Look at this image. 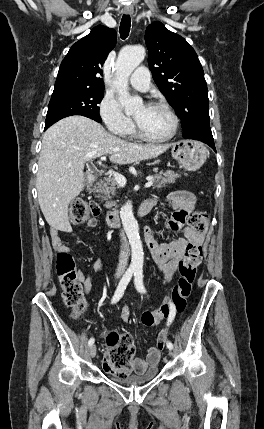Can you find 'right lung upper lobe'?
I'll list each match as a JSON object with an SVG mask.
<instances>
[{
  "mask_svg": "<svg viewBox=\"0 0 264 429\" xmlns=\"http://www.w3.org/2000/svg\"><path fill=\"white\" fill-rule=\"evenodd\" d=\"M116 44V31L101 25L76 42L63 59L54 90L62 88L104 89L102 66Z\"/></svg>",
  "mask_w": 264,
  "mask_h": 429,
  "instance_id": "right-lung-upper-lobe-1",
  "label": "right lung upper lobe"
}]
</instances>
